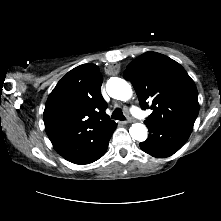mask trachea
I'll return each instance as SVG.
<instances>
[{"instance_id": "trachea-1", "label": "trachea", "mask_w": 221, "mask_h": 221, "mask_svg": "<svg viewBox=\"0 0 221 221\" xmlns=\"http://www.w3.org/2000/svg\"><path fill=\"white\" fill-rule=\"evenodd\" d=\"M112 119H115V120H120V121H123L125 120V116L123 115V112L121 109L119 108H116L113 113H112Z\"/></svg>"}]
</instances>
